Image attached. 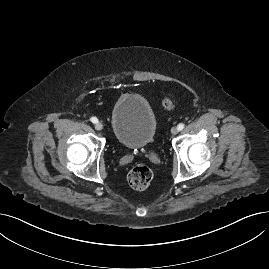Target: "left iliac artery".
<instances>
[{"label":"left iliac artery","instance_id":"left-iliac-artery-1","mask_svg":"<svg viewBox=\"0 0 269 269\" xmlns=\"http://www.w3.org/2000/svg\"><path fill=\"white\" fill-rule=\"evenodd\" d=\"M184 126H185V125H184L183 123H180V124L178 125V130L181 131V130L184 128Z\"/></svg>","mask_w":269,"mask_h":269}]
</instances>
